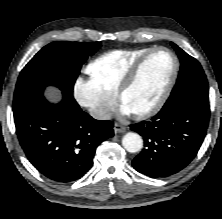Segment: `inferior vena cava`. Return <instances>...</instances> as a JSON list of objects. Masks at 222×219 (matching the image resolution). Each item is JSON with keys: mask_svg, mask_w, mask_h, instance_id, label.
<instances>
[{"mask_svg": "<svg viewBox=\"0 0 222 219\" xmlns=\"http://www.w3.org/2000/svg\"><path fill=\"white\" fill-rule=\"evenodd\" d=\"M90 114L95 119H110L111 112L103 109V108H91Z\"/></svg>", "mask_w": 222, "mask_h": 219, "instance_id": "inferior-vena-cava-1", "label": "inferior vena cava"}]
</instances>
